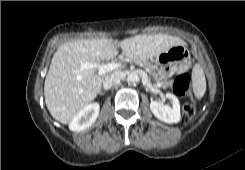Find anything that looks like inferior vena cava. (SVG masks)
I'll list each match as a JSON object with an SVG mask.
<instances>
[{"label": "inferior vena cava", "instance_id": "602c4592", "mask_svg": "<svg viewBox=\"0 0 245 170\" xmlns=\"http://www.w3.org/2000/svg\"><path fill=\"white\" fill-rule=\"evenodd\" d=\"M123 78H124V74L122 72L112 73L111 75L105 77L103 81V87L105 89H110Z\"/></svg>", "mask_w": 245, "mask_h": 170}]
</instances>
